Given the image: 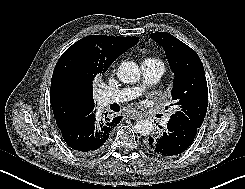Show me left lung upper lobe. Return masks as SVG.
<instances>
[{"label":"left lung upper lobe","instance_id":"left-lung-upper-lobe-1","mask_svg":"<svg viewBox=\"0 0 245 189\" xmlns=\"http://www.w3.org/2000/svg\"><path fill=\"white\" fill-rule=\"evenodd\" d=\"M150 37L165 51L174 73L172 98L178 111L171 120L193 124L199 128L208 104V89L203 64L197 53L173 35L161 32Z\"/></svg>","mask_w":245,"mask_h":189}]
</instances>
